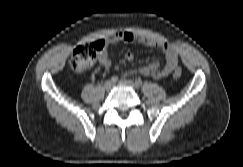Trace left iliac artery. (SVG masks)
I'll return each mask as SVG.
<instances>
[{"label":"left iliac artery","instance_id":"1","mask_svg":"<svg viewBox=\"0 0 243 167\" xmlns=\"http://www.w3.org/2000/svg\"><path fill=\"white\" fill-rule=\"evenodd\" d=\"M136 86H142V80L141 79H136L135 80Z\"/></svg>","mask_w":243,"mask_h":167}]
</instances>
